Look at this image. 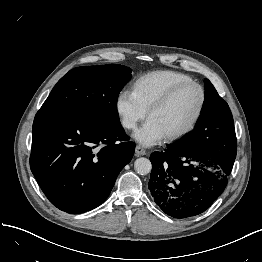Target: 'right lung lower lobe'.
Wrapping results in <instances>:
<instances>
[{
  "label": "right lung lower lobe",
  "instance_id": "right-lung-lower-lobe-1",
  "mask_svg": "<svg viewBox=\"0 0 262 262\" xmlns=\"http://www.w3.org/2000/svg\"><path fill=\"white\" fill-rule=\"evenodd\" d=\"M32 132L31 171L49 201L72 214L107 199L135 149L120 123L100 124L61 109L41 108Z\"/></svg>",
  "mask_w": 262,
  "mask_h": 262
}]
</instances>
